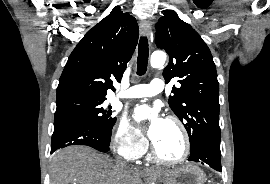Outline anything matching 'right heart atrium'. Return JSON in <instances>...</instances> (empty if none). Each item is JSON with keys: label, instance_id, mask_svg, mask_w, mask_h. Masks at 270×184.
I'll return each instance as SVG.
<instances>
[{"label": "right heart atrium", "instance_id": "d8ad5b80", "mask_svg": "<svg viewBox=\"0 0 270 184\" xmlns=\"http://www.w3.org/2000/svg\"><path fill=\"white\" fill-rule=\"evenodd\" d=\"M112 144L115 152L129 161L140 158L148 147L146 139L135 131L125 119L119 123Z\"/></svg>", "mask_w": 270, "mask_h": 184}]
</instances>
